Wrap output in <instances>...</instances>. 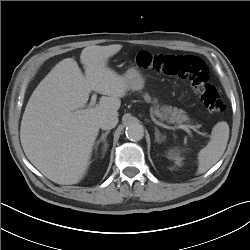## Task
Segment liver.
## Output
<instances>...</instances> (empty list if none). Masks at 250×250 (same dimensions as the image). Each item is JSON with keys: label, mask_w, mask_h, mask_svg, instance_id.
<instances>
[{"label": "liver", "mask_w": 250, "mask_h": 250, "mask_svg": "<svg viewBox=\"0 0 250 250\" xmlns=\"http://www.w3.org/2000/svg\"><path fill=\"white\" fill-rule=\"evenodd\" d=\"M121 48L120 44L84 48L80 61L85 75L73 58L63 59L29 98L21 121V145L30 162L51 181L62 185L80 182L90 164L100 118L118 116L127 81L107 63ZM91 91L105 96L95 107L76 115Z\"/></svg>", "instance_id": "liver-1"}]
</instances>
